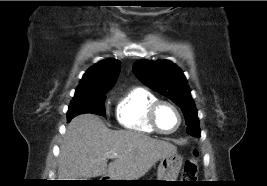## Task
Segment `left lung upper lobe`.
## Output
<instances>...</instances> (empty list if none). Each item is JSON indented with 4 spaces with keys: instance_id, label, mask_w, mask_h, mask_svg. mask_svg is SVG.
Masks as SVG:
<instances>
[{
    "instance_id": "obj_1",
    "label": "left lung upper lobe",
    "mask_w": 267,
    "mask_h": 186,
    "mask_svg": "<svg viewBox=\"0 0 267 186\" xmlns=\"http://www.w3.org/2000/svg\"><path fill=\"white\" fill-rule=\"evenodd\" d=\"M133 71L147 86L171 99L178 105L186 120L187 132L200 137L197 109L183 72L168 60H142L134 64Z\"/></svg>"
}]
</instances>
